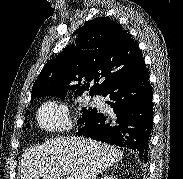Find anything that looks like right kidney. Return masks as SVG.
I'll list each match as a JSON object with an SVG mask.
<instances>
[{
    "instance_id": "1",
    "label": "right kidney",
    "mask_w": 183,
    "mask_h": 179,
    "mask_svg": "<svg viewBox=\"0 0 183 179\" xmlns=\"http://www.w3.org/2000/svg\"><path fill=\"white\" fill-rule=\"evenodd\" d=\"M101 179H115V178H113L112 176H104V177L101 178Z\"/></svg>"
}]
</instances>
